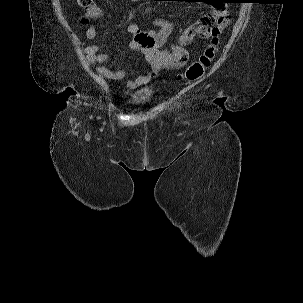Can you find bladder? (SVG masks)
Listing matches in <instances>:
<instances>
[{
  "instance_id": "1",
  "label": "bladder",
  "mask_w": 303,
  "mask_h": 303,
  "mask_svg": "<svg viewBox=\"0 0 303 303\" xmlns=\"http://www.w3.org/2000/svg\"><path fill=\"white\" fill-rule=\"evenodd\" d=\"M128 101L130 104L134 106H143L150 101V96H146L142 94H133L130 96Z\"/></svg>"
}]
</instances>
